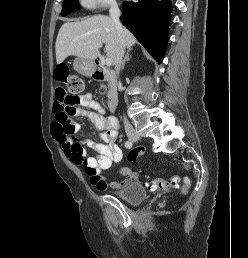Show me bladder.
<instances>
[{
    "instance_id": "31cf9c89",
    "label": "bladder",
    "mask_w": 248,
    "mask_h": 258,
    "mask_svg": "<svg viewBox=\"0 0 248 258\" xmlns=\"http://www.w3.org/2000/svg\"><path fill=\"white\" fill-rule=\"evenodd\" d=\"M118 196L131 205L143 202L147 198V189L141 183H129L123 187Z\"/></svg>"
}]
</instances>
